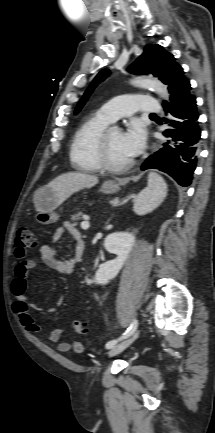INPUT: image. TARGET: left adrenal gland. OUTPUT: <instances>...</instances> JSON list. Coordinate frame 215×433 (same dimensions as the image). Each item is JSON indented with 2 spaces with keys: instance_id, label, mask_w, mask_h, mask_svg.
I'll return each mask as SVG.
<instances>
[{
  "instance_id": "a2214340",
  "label": "left adrenal gland",
  "mask_w": 215,
  "mask_h": 433,
  "mask_svg": "<svg viewBox=\"0 0 215 433\" xmlns=\"http://www.w3.org/2000/svg\"><path fill=\"white\" fill-rule=\"evenodd\" d=\"M135 197L136 196L131 195V196L127 197L126 199H123L122 201H120L119 198H115L113 203H112V206L113 207L121 206V205L125 204L126 202H128V200H130L131 198H135Z\"/></svg>"
}]
</instances>
